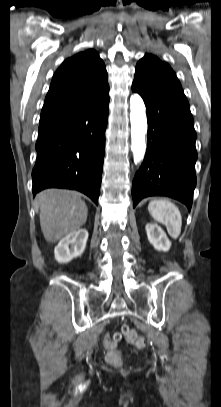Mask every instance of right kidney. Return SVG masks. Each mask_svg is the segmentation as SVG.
<instances>
[{"instance_id": "obj_1", "label": "right kidney", "mask_w": 221, "mask_h": 407, "mask_svg": "<svg viewBox=\"0 0 221 407\" xmlns=\"http://www.w3.org/2000/svg\"><path fill=\"white\" fill-rule=\"evenodd\" d=\"M88 231L79 229L62 238L54 249L55 259L59 263H68L79 257L85 250Z\"/></svg>"}]
</instances>
